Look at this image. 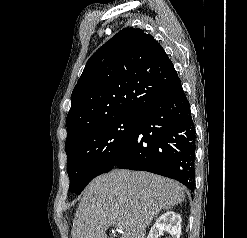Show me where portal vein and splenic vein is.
Returning a JSON list of instances; mask_svg holds the SVG:
<instances>
[{"label":"portal vein and splenic vein","instance_id":"18ae733b","mask_svg":"<svg viewBox=\"0 0 247 238\" xmlns=\"http://www.w3.org/2000/svg\"><path fill=\"white\" fill-rule=\"evenodd\" d=\"M116 227L119 228V229L122 228V226L120 224H117Z\"/></svg>","mask_w":247,"mask_h":238}]
</instances>
